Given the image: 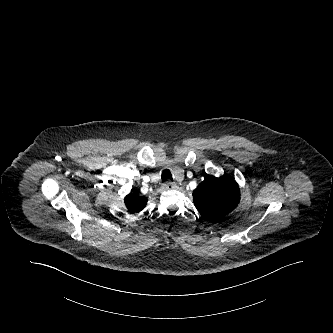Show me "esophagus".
Masks as SVG:
<instances>
[{"label": "esophagus", "mask_w": 333, "mask_h": 333, "mask_svg": "<svg viewBox=\"0 0 333 333\" xmlns=\"http://www.w3.org/2000/svg\"><path fill=\"white\" fill-rule=\"evenodd\" d=\"M177 185L176 183H173L171 181H168L167 183L164 184V189L166 190H172V189H176Z\"/></svg>", "instance_id": "esophagus-1"}]
</instances>
